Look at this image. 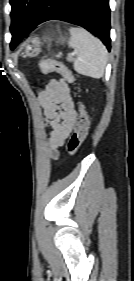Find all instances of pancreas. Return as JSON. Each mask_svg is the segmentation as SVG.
Segmentation results:
<instances>
[{
  "label": "pancreas",
  "mask_w": 134,
  "mask_h": 281,
  "mask_svg": "<svg viewBox=\"0 0 134 281\" xmlns=\"http://www.w3.org/2000/svg\"><path fill=\"white\" fill-rule=\"evenodd\" d=\"M72 60H73L72 56L69 55V56L67 57V61L71 62Z\"/></svg>",
  "instance_id": "pancreas-1"
}]
</instances>
